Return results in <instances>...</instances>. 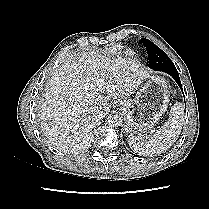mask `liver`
Wrapping results in <instances>:
<instances>
[{"instance_id": "liver-1", "label": "liver", "mask_w": 209, "mask_h": 209, "mask_svg": "<svg viewBox=\"0 0 209 209\" xmlns=\"http://www.w3.org/2000/svg\"><path fill=\"white\" fill-rule=\"evenodd\" d=\"M149 73L135 61L110 59L94 51L63 64L45 87L41 128L50 143L68 154L89 147L90 125L127 98Z\"/></svg>"}]
</instances>
